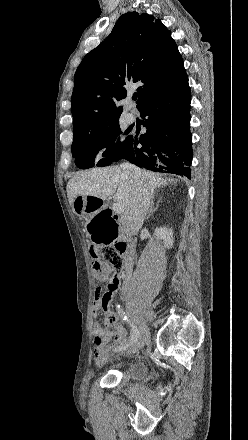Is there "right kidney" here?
Returning a JSON list of instances; mask_svg holds the SVG:
<instances>
[{"instance_id":"1","label":"right kidney","mask_w":248,"mask_h":440,"mask_svg":"<svg viewBox=\"0 0 248 440\" xmlns=\"http://www.w3.org/2000/svg\"><path fill=\"white\" fill-rule=\"evenodd\" d=\"M155 234L164 240V244L168 249L172 248L174 242L172 229H167L166 227L156 228Z\"/></svg>"}]
</instances>
